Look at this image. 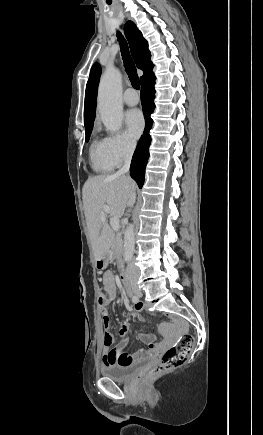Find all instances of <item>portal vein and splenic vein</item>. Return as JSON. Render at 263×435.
<instances>
[{
	"label": "portal vein and splenic vein",
	"instance_id": "obj_1",
	"mask_svg": "<svg viewBox=\"0 0 263 435\" xmlns=\"http://www.w3.org/2000/svg\"><path fill=\"white\" fill-rule=\"evenodd\" d=\"M103 211L104 214L102 215V220L106 219V214H109V207L108 206H103ZM110 225L112 227L113 230L117 231L119 229V218L116 216L111 217L110 219Z\"/></svg>",
	"mask_w": 263,
	"mask_h": 435
}]
</instances>
